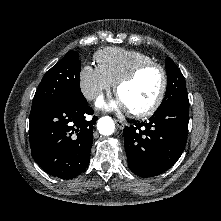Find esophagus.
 <instances>
[{"mask_svg": "<svg viewBox=\"0 0 221 221\" xmlns=\"http://www.w3.org/2000/svg\"><path fill=\"white\" fill-rule=\"evenodd\" d=\"M115 123L117 124V126L120 128V129H123L125 127V124L118 120V119H115Z\"/></svg>", "mask_w": 221, "mask_h": 221, "instance_id": "34e87169", "label": "esophagus"}]
</instances>
